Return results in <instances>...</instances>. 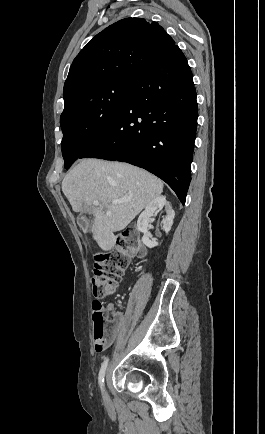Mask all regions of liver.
I'll list each match as a JSON object with an SVG mask.
<instances>
[{"instance_id":"6515ba94","label":"liver","mask_w":265,"mask_h":434,"mask_svg":"<svg viewBox=\"0 0 265 434\" xmlns=\"http://www.w3.org/2000/svg\"><path fill=\"white\" fill-rule=\"evenodd\" d=\"M62 192L73 212L93 214V238L107 252L116 244L113 232L124 230L147 204L160 196L163 182L130 164L80 160L65 176ZM120 198L131 200L115 206L110 204ZM93 200H98L99 206H93Z\"/></svg>"}]
</instances>
